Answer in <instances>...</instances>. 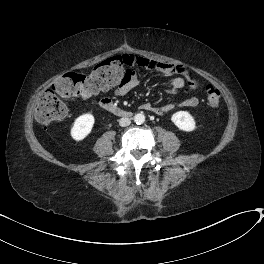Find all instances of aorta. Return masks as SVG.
Listing matches in <instances>:
<instances>
[{
  "mask_svg": "<svg viewBox=\"0 0 264 264\" xmlns=\"http://www.w3.org/2000/svg\"><path fill=\"white\" fill-rule=\"evenodd\" d=\"M134 122L138 125H141L145 122V116L142 113H138L134 116Z\"/></svg>",
  "mask_w": 264,
  "mask_h": 264,
  "instance_id": "762f6f07",
  "label": "aorta"
}]
</instances>
